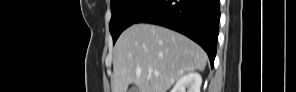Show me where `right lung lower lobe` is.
<instances>
[{"label": "right lung lower lobe", "instance_id": "1", "mask_svg": "<svg viewBox=\"0 0 296 92\" xmlns=\"http://www.w3.org/2000/svg\"><path fill=\"white\" fill-rule=\"evenodd\" d=\"M219 20V0H158L135 23L157 24L188 36L206 51L213 66Z\"/></svg>", "mask_w": 296, "mask_h": 92}]
</instances>
